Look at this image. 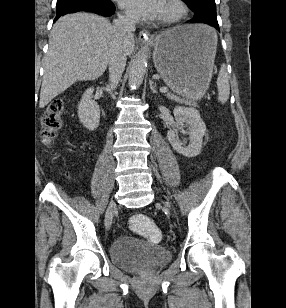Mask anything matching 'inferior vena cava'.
Here are the masks:
<instances>
[{"label": "inferior vena cava", "mask_w": 286, "mask_h": 308, "mask_svg": "<svg viewBox=\"0 0 286 308\" xmlns=\"http://www.w3.org/2000/svg\"><path fill=\"white\" fill-rule=\"evenodd\" d=\"M136 21L128 16H118L114 20V28L119 34L117 47L114 49L109 60L110 88L115 89L121 79L126 66V52L123 47L124 39L133 36Z\"/></svg>", "instance_id": "obj_1"}]
</instances>
